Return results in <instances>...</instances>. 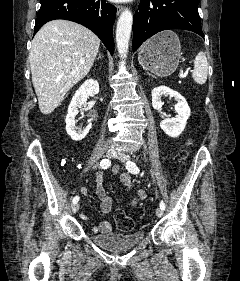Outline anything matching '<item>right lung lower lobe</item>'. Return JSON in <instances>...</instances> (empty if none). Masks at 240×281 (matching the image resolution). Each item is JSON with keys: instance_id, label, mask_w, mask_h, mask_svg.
I'll list each match as a JSON object with an SVG mask.
<instances>
[{"instance_id": "98d812e1", "label": "right lung lower lobe", "mask_w": 240, "mask_h": 281, "mask_svg": "<svg viewBox=\"0 0 240 281\" xmlns=\"http://www.w3.org/2000/svg\"><path fill=\"white\" fill-rule=\"evenodd\" d=\"M40 3L34 35L48 21L66 19L92 30L113 54L112 25L116 16L115 6L105 0H40Z\"/></svg>"}]
</instances>
